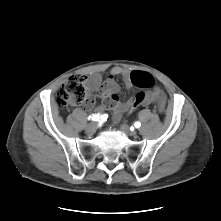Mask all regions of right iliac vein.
Instances as JSON below:
<instances>
[{"label":"right iliac vein","instance_id":"right-iliac-vein-1","mask_svg":"<svg viewBox=\"0 0 221 221\" xmlns=\"http://www.w3.org/2000/svg\"><path fill=\"white\" fill-rule=\"evenodd\" d=\"M96 129H97V125L95 122L89 123L85 128L88 134H93L96 131Z\"/></svg>","mask_w":221,"mask_h":221}]
</instances>
